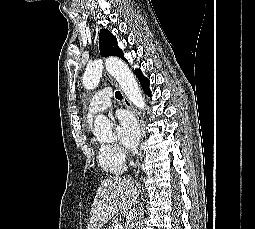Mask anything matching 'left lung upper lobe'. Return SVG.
I'll use <instances>...</instances> for the list:
<instances>
[{"label":"left lung upper lobe","instance_id":"obj_1","mask_svg":"<svg viewBox=\"0 0 255 229\" xmlns=\"http://www.w3.org/2000/svg\"><path fill=\"white\" fill-rule=\"evenodd\" d=\"M99 50L100 54L104 57L117 56L126 61L123 51L117 46L116 37L113 36L108 29H102L100 31Z\"/></svg>","mask_w":255,"mask_h":229}]
</instances>
